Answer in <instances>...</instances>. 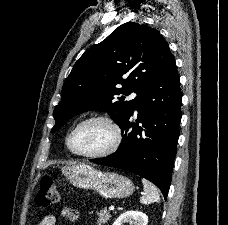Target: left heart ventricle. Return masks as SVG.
<instances>
[{"mask_svg": "<svg viewBox=\"0 0 228 225\" xmlns=\"http://www.w3.org/2000/svg\"><path fill=\"white\" fill-rule=\"evenodd\" d=\"M112 142L110 129L101 122H88L79 127L70 139V146L76 152H101Z\"/></svg>", "mask_w": 228, "mask_h": 225, "instance_id": "b2bd125f", "label": "left heart ventricle"}]
</instances>
